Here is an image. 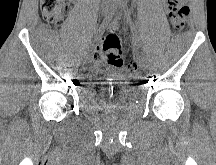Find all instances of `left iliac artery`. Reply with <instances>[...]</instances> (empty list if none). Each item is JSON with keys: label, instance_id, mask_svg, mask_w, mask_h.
<instances>
[{"label": "left iliac artery", "instance_id": "left-iliac-artery-1", "mask_svg": "<svg viewBox=\"0 0 216 165\" xmlns=\"http://www.w3.org/2000/svg\"><path fill=\"white\" fill-rule=\"evenodd\" d=\"M124 17L126 18L127 22H129L130 24L132 23L131 21V16H130V12L128 11V8L124 6ZM134 41L135 44L139 47L140 46V38L137 35V32H134Z\"/></svg>", "mask_w": 216, "mask_h": 165}]
</instances>
